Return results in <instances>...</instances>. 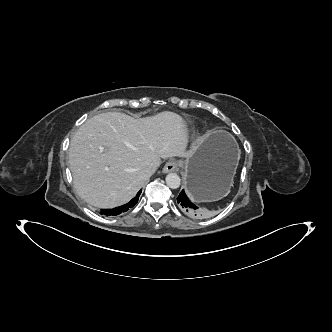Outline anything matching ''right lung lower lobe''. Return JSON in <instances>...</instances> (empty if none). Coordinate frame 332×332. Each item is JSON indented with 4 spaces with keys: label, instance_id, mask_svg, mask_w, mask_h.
<instances>
[{
    "label": "right lung lower lobe",
    "instance_id": "98d812e1",
    "mask_svg": "<svg viewBox=\"0 0 332 332\" xmlns=\"http://www.w3.org/2000/svg\"><path fill=\"white\" fill-rule=\"evenodd\" d=\"M140 194H141V190L137 193L136 197H134L127 204L113 208V209H104V210H102L101 214H104L106 216H115L120 213L126 212L128 209L132 208L138 202Z\"/></svg>",
    "mask_w": 332,
    "mask_h": 332
}]
</instances>
